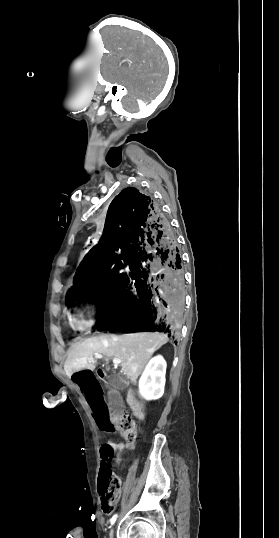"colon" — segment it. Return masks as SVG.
Segmentation results:
<instances>
[{
	"label": "colon",
	"instance_id": "5ec220e1",
	"mask_svg": "<svg viewBox=\"0 0 279 538\" xmlns=\"http://www.w3.org/2000/svg\"><path fill=\"white\" fill-rule=\"evenodd\" d=\"M128 442H134L138 436L137 425L129 415L119 417L113 425ZM101 469L99 473V493L101 508L104 514H110L120 488V480L111 470L110 462L114 456V449L109 443L100 448Z\"/></svg>",
	"mask_w": 279,
	"mask_h": 538
}]
</instances>
